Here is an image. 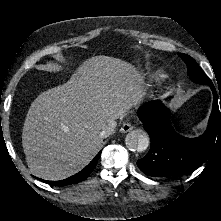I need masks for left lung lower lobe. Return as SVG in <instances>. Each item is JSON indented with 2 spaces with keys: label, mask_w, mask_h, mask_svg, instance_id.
Listing matches in <instances>:
<instances>
[{
  "label": "left lung lower lobe",
  "mask_w": 221,
  "mask_h": 221,
  "mask_svg": "<svg viewBox=\"0 0 221 221\" xmlns=\"http://www.w3.org/2000/svg\"><path fill=\"white\" fill-rule=\"evenodd\" d=\"M209 86L213 92L212 113L207 130L197 138L177 134L171 126L169 109L159 100L138 109L137 115L151 139L149 152L137 161L143 173L159 178L186 175L201 166L214 151L221 141V92H216L212 83Z\"/></svg>",
  "instance_id": "left-lung-lower-lobe-1"
}]
</instances>
